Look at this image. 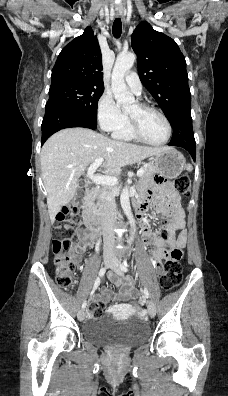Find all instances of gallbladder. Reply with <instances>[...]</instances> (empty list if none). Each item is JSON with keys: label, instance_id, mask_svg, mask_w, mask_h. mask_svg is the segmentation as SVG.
I'll list each match as a JSON object with an SVG mask.
<instances>
[{"label": "gallbladder", "instance_id": "obj_1", "mask_svg": "<svg viewBox=\"0 0 228 396\" xmlns=\"http://www.w3.org/2000/svg\"><path fill=\"white\" fill-rule=\"evenodd\" d=\"M83 188H84V186H83L82 184H80V185L78 186V189H79V190H83Z\"/></svg>", "mask_w": 228, "mask_h": 396}]
</instances>
